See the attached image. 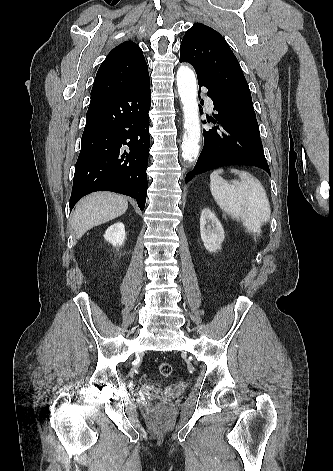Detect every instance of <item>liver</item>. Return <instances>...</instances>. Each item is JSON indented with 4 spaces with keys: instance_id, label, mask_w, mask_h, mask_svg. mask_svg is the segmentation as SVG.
Returning a JSON list of instances; mask_svg holds the SVG:
<instances>
[{
    "instance_id": "liver-1",
    "label": "liver",
    "mask_w": 333,
    "mask_h": 471,
    "mask_svg": "<svg viewBox=\"0 0 333 471\" xmlns=\"http://www.w3.org/2000/svg\"><path fill=\"white\" fill-rule=\"evenodd\" d=\"M127 198L111 192H98L81 199L72 216V228L80 239L88 230L126 212Z\"/></svg>"
}]
</instances>
